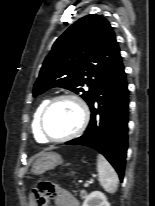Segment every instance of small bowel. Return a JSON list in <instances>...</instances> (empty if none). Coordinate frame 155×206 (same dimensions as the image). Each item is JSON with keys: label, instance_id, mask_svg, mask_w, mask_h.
<instances>
[{"label": "small bowel", "instance_id": "small-bowel-1", "mask_svg": "<svg viewBox=\"0 0 155 206\" xmlns=\"http://www.w3.org/2000/svg\"><path fill=\"white\" fill-rule=\"evenodd\" d=\"M53 198L55 206H79L77 198L70 191L61 187L54 186ZM36 206L39 205L37 204Z\"/></svg>", "mask_w": 155, "mask_h": 206}]
</instances>
